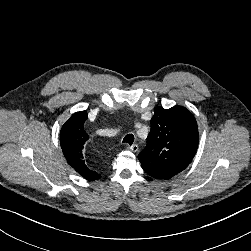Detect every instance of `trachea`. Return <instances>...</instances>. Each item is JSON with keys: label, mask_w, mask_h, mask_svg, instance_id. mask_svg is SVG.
I'll return each mask as SVG.
<instances>
[{"label": "trachea", "mask_w": 251, "mask_h": 251, "mask_svg": "<svg viewBox=\"0 0 251 251\" xmlns=\"http://www.w3.org/2000/svg\"><path fill=\"white\" fill-rule=\"evenodd\" d=\"M133 141H134L133 134H127L123 139V143H128L129 145H132Z\"/></svg>", "instance_id": "3493384b"}]
</instances>
